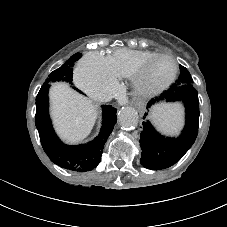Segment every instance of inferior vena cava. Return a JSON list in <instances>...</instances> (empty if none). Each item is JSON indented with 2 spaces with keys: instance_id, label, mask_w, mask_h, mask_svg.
<instances>
[{
  "instance_id": "1",
  "label": "inferior vena cava",
  "mask_w": 227,
  "mask_h": 227,
  "mask_svg": "<svg viewBox=\"0 0 227 227\" xmlns=\"http://www.w3.org/2000/svg\"><path fill=\"white\" fill-rule=\"evenodd\" d=\"M95 99L98 100V101H101V102H106V101H109L110 100V97L108 96H95Z\"/></svg>"
}]
</instances>
